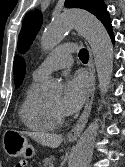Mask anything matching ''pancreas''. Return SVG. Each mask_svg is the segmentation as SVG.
<instances>
[{
    "label": "pancreas",
    "instance_id": "obj_1",
    "mask_svg": "<svg viewBox=\"0 0 125 167\" xmlns=\"http://www.w3.org/2000/svg\"><path fill=\"white\" fill-rule=\"evenodd\" d=\"M53 160H54V157L53 156H50V157H47L43 160V167H48L50 166L51 164H53Z\"/></svg>",
    "mask_w": 125,
    "mask_h": 167
}]
</instances>
